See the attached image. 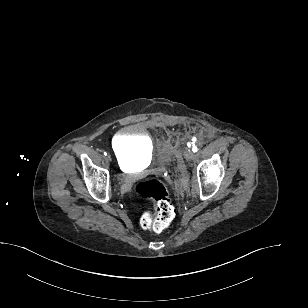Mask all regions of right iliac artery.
Masks as SVG:
<instances>
[{"label": "right iliac artery", "instance_id": "1", "mask_svg": "<svg viewBox=\"0 0 308 308\" xmlns=\"http://www.w3.org/2000/svg\"><path fill=\"white\" fill-rule=\"evenodd\" d=\"M103 154H104V155H107V153H106V152H103Z\"/></svg>", "mask_w": 308, "mask_h": 308}]
</instances>
